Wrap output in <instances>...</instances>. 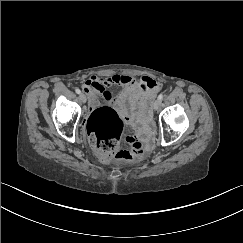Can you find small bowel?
I'll use <instances>...</instances> for the list:
<instances>
[{
    "mask_svg": "<svg viewBox=\"0 0 243 243\" xmlns=\"http://www.w3.org/2000/svg\"><path fill=\"white\" fill-rule=\"evenodd\" d=\"M112 85H118L121 88L114 97L108 89ZM83 89L88 94L90 109L98 106V97L102 96L125 121L135 123L141 102L154 98L159 91V85L149 76H143L139 81L126 75H113L107 78L91 76L84 83Z\"/></svg>",
    "mask_w": 243,
    "mask_h": 243,
    "instance_id": "c3829d8e",
    "label": "small bowel"
}]
</instances>
